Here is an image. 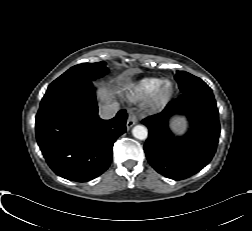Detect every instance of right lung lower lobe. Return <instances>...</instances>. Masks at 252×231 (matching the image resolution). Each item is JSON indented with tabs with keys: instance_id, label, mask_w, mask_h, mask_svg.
<instances>
[{
	"instance_id": "1",
	"label": "right lung lower lobe",
	"mask_w": 252,
	"mask_h": 231,
	"mask_svg": "<svg viewBox=\"0 0 252 231\" xmlns=\"http://www.w3.org/2000/svg\"><path fill=\"white\" fill-rule=\"evenodd\" d=\"M126 119V111L120 110L113 119L102 120L92 83L74 84L44 95L36 115L37 142L57 175L86 182L109 167Z\"/></svg>"
}]
</instances>
